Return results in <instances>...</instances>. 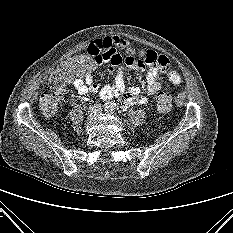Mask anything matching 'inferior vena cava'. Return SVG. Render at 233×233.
<instances>
[{
	"mask_svg": "<svg viewBox=\"0 0 233 233\" xmlns=\"http://www.w3.org/2000/svg\"><path fill=\"white\" fill-rule=\"evenodd\" d=\"M100 107V105H97V106H94V108H99ZM93 108V107H92Z\"/></svg>",
	"mask_w": 233,
	"mask_h": 233,
	"instance_id": "inferior-vena-cava-1",
	"label": "inferior vena cava"
}]
</instances>
